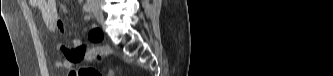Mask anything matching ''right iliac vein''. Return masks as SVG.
<instances>
[{
    "label": "right iliac vein",
    "instance_id": "1",
    "mask_svg": "<svg viewBox=\"0 0 333 76\" xmlns=\"http://www.w3.org/2000/svg\"><path fill=\"white\" fill-rule=\"evenodd\" d=\"M91 10L94 14V16L96 17V19L100 22V23H103L104 21V16H103V13H102V10L100 8L99 5L97 4H91Z\"/></svg>",
    "mask_w": 333,
    "mask_h": 76
}]
</instances>
